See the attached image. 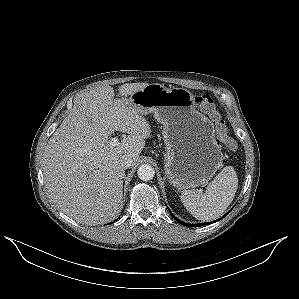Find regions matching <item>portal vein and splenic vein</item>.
<instances>
[{"mask_svg":"<svg viewBox=\"0 0 299 299\" xmlns=\"http://www.w3.org/2000/svg\"><path fill=\"white\" fill-rule=\"evenodd\" d=\"M109 145H110L111 147H116V146L118 145V138H116V137L112 138V139L110 140Z\"/></svg>","mask_w":299,"mask_h":299,"instance_id":"obj_1","label":"portal vein and splenic vein"}]
</instances>
